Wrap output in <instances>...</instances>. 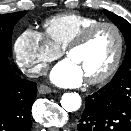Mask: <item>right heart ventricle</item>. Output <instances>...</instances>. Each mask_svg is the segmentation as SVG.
I'll list each match as a JSON object with an SVG mask.
<instances>
[{
	"mask_svg": "<svg viewBox=\"0 0 131 131\" xmlns=\"http://www.w3.org/2000/svg\"><path fill=\"white\" fill-rule=\"evenodd\" d=\"M98 22L100 21L94 17L64 13L47 19L43 27L48 41L62 52L78 34Z\"/></svg>",
	"mask_w": 131,
	"mask_h": 131,
	"instance_id": "1",
	"label": "right heart ventricle"
}]
</instances>
